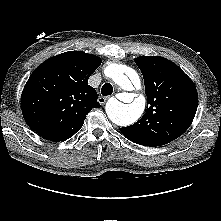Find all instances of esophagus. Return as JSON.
Segmentation results:
<instances>
[{
	"label": "esophagus",
	"instance_id": "esophagus-1",
	"mask_svg": "<svg viewBox=\"0 0 221 221\" xmlns=\"http://www.w3.org/2000/svg\"><path fill=\"white\" fill-rule=\"evenodd\" d=\"M108 97H104V96H100L98 98V102L101 104V105H104L105 102L107 101Z\"/></svg>",
	"mask_w": 221,
	"mask_h": 221
}]
</instances>
